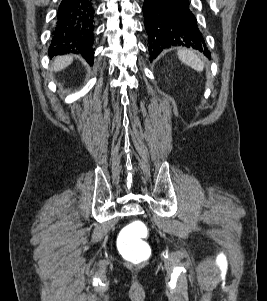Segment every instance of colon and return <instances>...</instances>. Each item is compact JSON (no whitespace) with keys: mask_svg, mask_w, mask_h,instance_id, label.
I'll return each mask as SVG.
<instances>
[{"mask_svg":"<svg viewBox=\"0 0 267 301\" xmlns=\"http://www.w3.org/2000/svg\"><path fill=\"white\" fill-rule=\"evenodd\" d=\"M148 229L141 220L130 222L120 233L118 247L121 255L133 264H141L150 258L151 250L145 241Z\"/></svg>","mask_w":267,"mask_h":301,"instance_id":"obj_1","label":"colon"}]
</instances>
